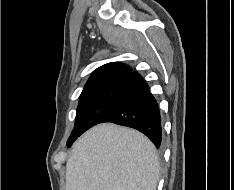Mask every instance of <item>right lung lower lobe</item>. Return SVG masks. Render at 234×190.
I'll return each mask as SVG.
<instances>
[{
	"label": "right lung lower lobe",
	"mask_w": 234,
	"mask_h": 190,
	"mask_svg": "<svg viewBox=\"0 0 234 190\" xmlns=\"http://www.w3.org/2000/svg\"><path fill=\"white\" fill-rule=\"evenodd\" d=\"M112 122L144 133L159 148L162 140L161 116L157 101L145 80L132 72L115 101L100 123ZM77 138L67 142L70 146Z\"/></svg>",
	"instance_id": "1"
}]
</instances>
